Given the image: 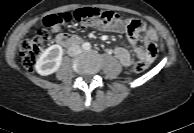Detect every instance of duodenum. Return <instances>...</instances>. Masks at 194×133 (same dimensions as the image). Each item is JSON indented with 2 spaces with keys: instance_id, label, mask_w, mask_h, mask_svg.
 Instances as JSON below:
<instances>
[{
  "instance_id": "duodenum-1",
  "label": "duodenum",
  "mask_w": 194,
  "mask_h": 133,
  "mask_svg": "<svg viewBox=\"0 0 194 133\" xmlns=\"http://www.w3.org/2000/svg\"><path fill=\"white\" fill-rule=\"evenodd\" d=\"M55 40L57 44L63 47L75 46L82 42L81 38H79L78 36L69 34H59Z\"/></svg>"
}]
</instances>
